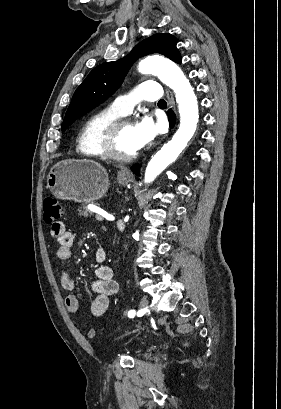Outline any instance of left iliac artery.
Returning a JSON list of instances; mask_svg holds the SVG:
<instances>
[{
	"instance_id": "1",
	"label": "left iliac artery",
	"mask_w": 281,
	"mask_h": 409,
	"mask_svg": "<svg viewBox=\"0 0 281 409\" xmlns=\"http://www.w3.org/2000/svg\"><path fill=\"white\" fill-rule=\"evenodd\" d=\"M135 314H136L135 310H130V311L128 312V316H129L130 318H133V317L135 316Z\"/></svg>"
}]
</instances>
